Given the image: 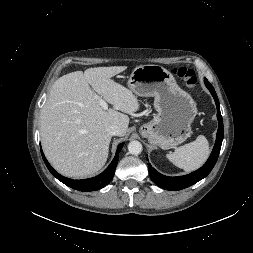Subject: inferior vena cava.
<instances>
[{"instance_id":"obj_1","label":"inferior vena cava","mask_w":253,"mask_h":253,"mask_svg":"<svg viewBox=\"0 0 253 253\" xmlns=\"http://www.w3.org/2000/svg\"><path fill=\"white\" fill-rule=\"evenodd\" d=\"M107 132L111 136H116L120 134V128L117 125H111L108 127Z\"/></svg>"}]
</instances>
